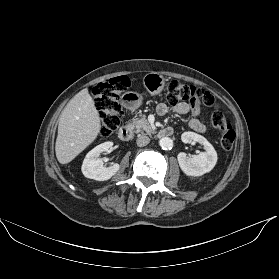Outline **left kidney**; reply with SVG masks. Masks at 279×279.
<instances>
[{"label":"left kidney","instance_id":"5707ae66","mask_svg":"<svg viewBox=\"0 0 279 279\" xmlns=\"http://www.w3.org/2000/svg\"><path fill=\"white\" fill-rule=\"evenodd\" d=\"M184 143L198 142L204 146L205 152L189 157L186 153L180 152L177 155L181 170L188 176H201L210 172L217 162V153L208 140L194 132H184L181 135Z\"/></svg>","mask_w":279,"mask_h":279}]
</instances>
